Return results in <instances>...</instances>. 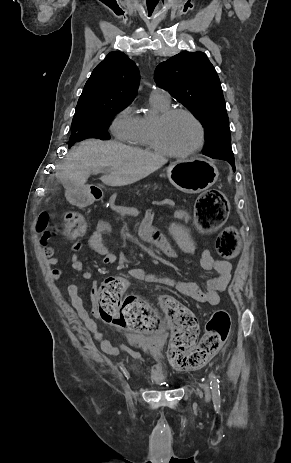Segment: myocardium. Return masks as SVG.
<instances>
[{
	"label": "myocardium",
	"mask_w": 291,
	"mask_h": 463,
	"mask_svg": "<svg viewBox=\"0 0 291 463\" xmlns=\"http://www.w3.org/2000/svg\"><path fill=\"white\" fill-rule=\"evenodd\" d=\"M178 115H185L189 117L196 124V126L198 127V131H199V138H198V142L196 143V145L183 152H176V151L169 149L167 146H165L161 142L160 134H159L161 125L165 123L166 121ZM150 142H151L152 147L156 151L166 156L173 157V158H186V157H189L197 153L204 146L205 128L201 120L190 110L183 109V108L167 109L161 112L154 120H152L151 125H150Z\"/></svg>",
	"instance_id": "f54148a6"
}]
</instances>
